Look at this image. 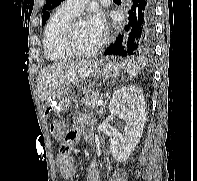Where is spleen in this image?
<instances>
[{"instance_id": "spleen-1", "label": "spleen", "mask_w": 197, "mask_h": 181, "mask_svg": "<svg viewBox=\"0 0 197 181\" xmlns=\"http://www.w3.org/2000/svg\"><path fill=\"white\" fill-rule=\"evenodd\" d=\"M125 64H126V72L129 74L130 78L136 76L140 72V69L136 67L135 64L131 62H126Z\"/></svg>"}]
</instances>
